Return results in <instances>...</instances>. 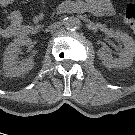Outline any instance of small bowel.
<instances>
[{
	"label": "small bowel",
	"instance_id": "small-bowel-1",
	"mask_svg": "<svg viewBox=\"0 0 135 135\" xmlns=\"http://www.w3.org/2000/svg\"><path fill=\"white\" fill-rule=\"evenodd\" d=\"M15 0H0V6L11 5ZM88 10L96 16H111L114 13V7L111 0H85ZM8 24L0 26V37L11 38L24 34L22 26V15L19 11H14L8 16Z\"/></svg>",
	"mask_w": 135,
	"mask_h": 135
}]
</instances>
